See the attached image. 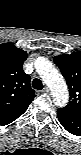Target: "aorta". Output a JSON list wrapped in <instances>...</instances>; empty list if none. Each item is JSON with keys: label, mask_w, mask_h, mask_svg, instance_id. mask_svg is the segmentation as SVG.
I'll return each instance as SVG.
<instances>
[{"label": "aorta", "mask_w": 81, "mask_h": 155, "mask_svg": "<svg viewBox=\"0 0 81 155\" xmlns=\"http://www.w3.org/2000/svg\"><path fill=\"white\" fill-rule=\"evenodd\" d=\"M36 69L43 81L50 88L53 101L57 106L67 103L69 94L66 82L58 70L44 58H38L35 62Z\"/></svg>", "instance_id": "obj_1"}]
</instances>
